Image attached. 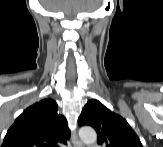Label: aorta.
<instances>
[{"mask_svg": "<svg viewBox=\"0 0 163 147\" xmlns=\"http://www.w3.org/2000/svg\"><path fill=\"white\" fill-rule=\"evenodd\" d=\"M79 137L85 144H92L97 139L95 130L89 126H85L79 129Z\"/></svg>", "mask_w": 163, "mask_h": 147, "instance_id": "aorta-1", "label": "aorta"}]
</instances>
